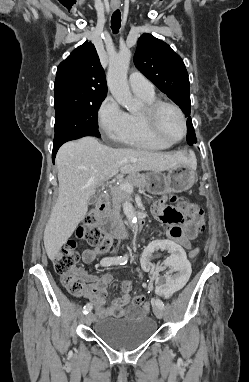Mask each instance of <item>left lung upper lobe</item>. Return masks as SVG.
Masks as SVG:
<instances>
[{"label": "left lung upper lobe", "instance_id": "1", "mask_svg": "<svg viewBox=\"0 0 249 382\" xmlns=\"http://www.w3.org/2000/svg\"><path fill=\"white\" fill-rule=\"evenodd\" d=\"M137 69L175 102L187 118V143H196L190 116L191 102L188 73L181 57L168 44L143 34L134 55Z\"/></svg>", "mask_w": 249, "mask_h": 382}]
</instances>
